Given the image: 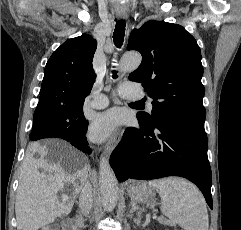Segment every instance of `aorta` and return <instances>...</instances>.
<instances>
[{"mask_svg":"<svg viewBox=\"0 0 241 230\" xmlns=\"http://www.w3.org/2000/svg\"><path fill=\"white\" fill-rule=\"evenodd\" d=\"M141 60L142 57L137 52L126 53L120 61L119 68L123 72H132L139 67ZM99 175L102 205L104 210L110 212L115 208L118 200V182L105 157L100 159Z\"/></svg>","mask_w":241,"mask_h":230,"instance_id":"obj_1","label":"aorta"}]
</instances>
